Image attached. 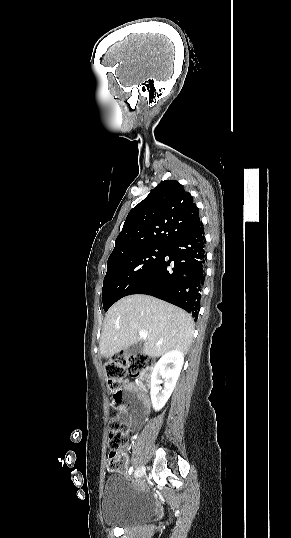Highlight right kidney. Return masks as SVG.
I'll use <instances>...</instances> for the list:
<instances>
[{
    "instance_id": "1",
    "label": "right kidney",
    "mask_w": 291,
    "mask_h": 538,
    "mask_svg": "<svg viewBox=\"0 0 291 538\" xmlns=\"http://www.w3.org/2000/svg\"><path fill=\"white\" fill-rule=\"evenodd\" d=\"M184 363L181 351L171 350L156 363L151 375V401L155 410H161L171 396ZM162 379H165L162 389Z\"/></svg>"
}]
</instances>
